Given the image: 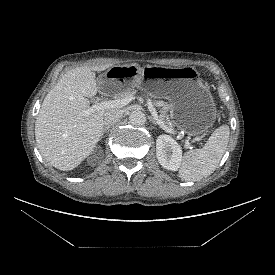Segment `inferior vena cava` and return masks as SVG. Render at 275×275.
I'll return each mask as SVG.
<instances>
[{
	"instance_id": "1",
	"label": "inferior vena cava",
	"mask_w": 275,
	"mask_h": 275,
	"mask_svg": "<svg viewBox=\"0 0 275 275\" xmlns=\"http://www.w3.org/2000/svg\"><path fill=\"white\" fill-rule=\"evenodd\" d=\"M123 113L120 110L111 109L104 114V124L107 126L113 125L120 120Z\"/></svg>"
}]
</instances>
